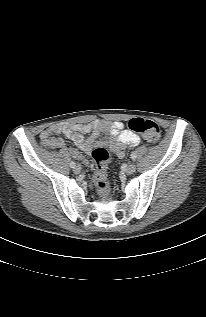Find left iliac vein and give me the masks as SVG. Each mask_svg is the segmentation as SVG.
Returning <instances> with one entry per match:
<instances>
[{
	"label": "left iliac vein",
	"mask_w": 206,
	"mask_h": 317,
	"mask_svg": "<svg viewBox=\"0 0 206 317\" xmlns=\"http://www.w3.org/2000/svg\"><path fill=\"white\" fill-rule=\"evenodd\" d=\"M135 171H136V165L134 163H130L125 169V173L128 175L133 174Z\"/></svg>",
	"instance_id": "4c4485c4"
}]
</instances>
